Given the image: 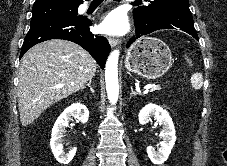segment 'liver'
<instances>
[{"label":"liver","instance_id":"6515ba94","mask_svg":"<svg viewBox=\"0 0 227 166\" xmlns=\"http://www.w3.org/2000/svg\"><path fill=\"white\" fill-rule=\"evenodd\" d=\"M96 69L92 56L73 42L52 39L32 47L23 56L19 71L17 97L22 126L83 89Z\"/></svg>","mask_w":227,"mask_h":166}]
</instances>
